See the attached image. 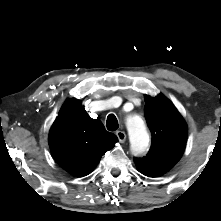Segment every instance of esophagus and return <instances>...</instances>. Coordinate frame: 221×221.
<instances>
[{
  "label": "esophagus",
  "instance_id": "1",
  "mask_svg": "<svg viewBox=\"0 0 221 221\" xmlns=\"http://www.w3.org/2000/svg\"><path fill=\"white\" fill-rule=\"evenodd\" d=\"M116 135L118 137L119 142L124 143L126 140V134L124 131H117Z\"/></svg>",
  "mask_w": 221,
  "mask_h": 221
}]
</instances>
